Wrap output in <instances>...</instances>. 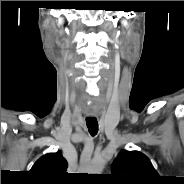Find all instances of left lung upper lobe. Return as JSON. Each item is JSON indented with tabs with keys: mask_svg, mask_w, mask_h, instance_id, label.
<instances>
[{
	"mask_svg": "<svg viewBox=\"0 0 184 184\" xmlns=\"http://www.w3.org/2000/svg\"><path fill=\"white\" fill-rule=\"evenodd\" d=\"M111 171L116 184H156L159 177L150 160L138 151H121Z\"/></svg>",
	"mask_w": 184,
	"mask_h": 184,
	"instance_id": "obj_1",
	"label": "left lung upper lobe"
}]
</instances>
